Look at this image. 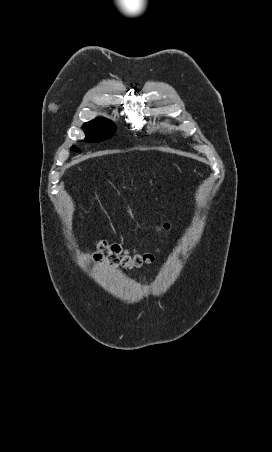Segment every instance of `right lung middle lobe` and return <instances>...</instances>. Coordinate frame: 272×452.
Here are the masks:
<instances>
[{"label":"right lung middle lobe","instance_id":"right-lung-middle-lobe-1","mask_svg":"<svg viewBox=\"0 0 272 452\" xmlns=\"http://www.w3.org/2000/svg\"><path fill=\"white\" fill-rule=\"evenodd\" d=\"M82 128L86 134L85 141L87 142L102 141L111 137L115 131V125L112 122L101 118L85 123ZM71 150L80 153V150L75 146H72Z\"/></svg>","mask_w":272,"mask_h":452}]
</instances>
